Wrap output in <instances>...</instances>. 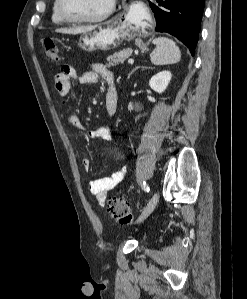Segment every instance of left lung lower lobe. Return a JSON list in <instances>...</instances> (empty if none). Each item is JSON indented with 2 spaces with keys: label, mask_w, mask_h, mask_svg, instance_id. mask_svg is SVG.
<instances>
[{
  "label": "left lung lower lobe",
  "mask_w": 247,
  "mask_h": 299,
  "mask_svg": "<svg viewBox=\"0 0 247 299\" xmlns=\"http://www.w3.org/2000/svg\"><path fill=\"white\" fill-rule=\"evenodd\" d=\"M150 6L156 19V31L177 37L194 55L204 0H153Z\"/></svg>",
  "instance_id": "obj_1"
}]
</instances>
